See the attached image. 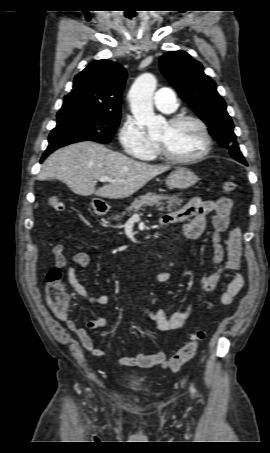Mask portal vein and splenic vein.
<instances>
[{
    "label": "portal vein and splenic vein",
    "mask_w": 270,
    "mask_h": 453,
    "mask_svg": "<svg viewBox=\"0 0 270 453\" xmlns=\"http://www.w3.org/2000/svg\"><path fill=\"white\" fill-rule=\"evenodd\" d=\"M99 181L100 182H114L113 179L109 178V177H106V176H102L99 178Z\"/></svg>",
    "instance_id": "1"
}]
</instances>
